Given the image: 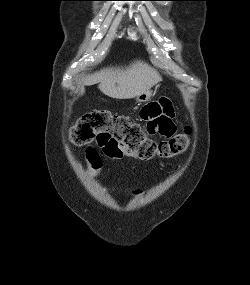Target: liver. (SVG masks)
I'll use <instances>...</instances> for the list:
<instances>
[{
    "instance_id": "6515ba94",
    "label": "liver",
    "mask_w": 250,
    "mask_h": 285,
    "mask_svg": "<svg viewBox=\"0 0 250 285\" xmlns=\"http://www.w3.org/2000/svg\"><path fill=\"white\" fill-rule=\"evenodd\" d=\"M159 73L143 61H135L124 68H106L88 75L84 86L99 84L100 91L114 99H131L145 93L161 81Z\"/></svg>"
}]
</instances>
